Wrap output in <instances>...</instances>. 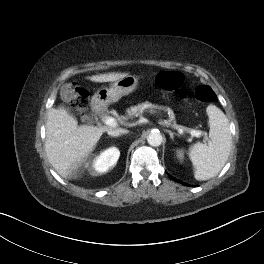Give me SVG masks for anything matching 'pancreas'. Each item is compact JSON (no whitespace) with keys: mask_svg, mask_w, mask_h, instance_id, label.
Here are the masks:
<instances>
[{"mask_svg":"<svg viewBox=\"0 0 264 264\" xmlns=\"http://www.w3.org/2000/svg\"><path fill=\"white\" fill-rule=\"evenodd\" d=\"M145 109H150V112L155 113L157 109L161 110V109H165V108L151 104L149 102H144V103L138 104L137 106H133V107H130L129 109H127V111H126L127 117L126 118H129L132 116H137V115L141 114L143 112V110H145ZM171 122L173 124H176L174 117L169 118V123H171Z\"/></svg>","mask_w":264,"mask_h":264,"instance_id":"obj_1","label":"pancreas"}]
</instances>
